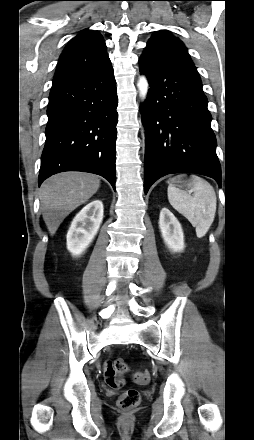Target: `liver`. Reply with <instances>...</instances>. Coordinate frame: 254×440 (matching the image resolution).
I'll return each instance as SVG.
<instances>
[{"label":"liver","instance_id":"1","mask_svg":"<svg viewBox=\"0 0 254 440\" xmlns=\"http://www.w3.org/2000/svg\"><path fill=\"white\" fill-rule=\"evenodd\" d=\"M100 179L83 172H63L48 178L40 188L43 219L54 235L73 210L90 199L99 189Z\"/></svg>","mask_w":254,"mask_h":440}]
</instances>
